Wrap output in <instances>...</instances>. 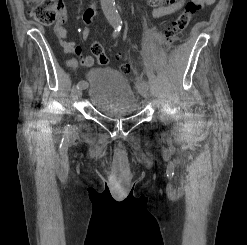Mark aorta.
I'll return each instance as SVG.
<instances>
[{"label": "aorta", "instance_id": "obj_1", "mask_svg": "<svg viewBox=\"0 0 247 245\" xmlns=\"http://www.w3.org/2000/svg\"><path fill=\"white\" fill-rule=\"evenodd\" d=\"M104 13L112 25H121L122 19L117 11L115 0H102Z\"/></svg>", "mask_w": 247, "mask_h": 245}]
</instances>
